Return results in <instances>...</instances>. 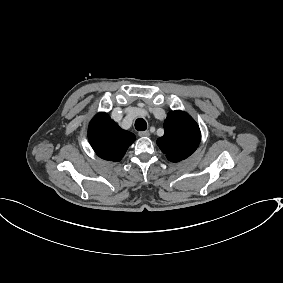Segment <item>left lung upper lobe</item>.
Masks as SVG:
<instances>
[{
    "instance_id": "1",
    "label": "left lung upper lobe",
    "mask_w": 283,
    "mask_h": 283,
    "mask_svg": "<svg viewBox=\"0 0 283 283\" xmlns=\"http://www.w3.org/2000/svg\"><path fill=\"white\" fill-rule=\"evenodd\" d=\"M201 133L195 120L183 111H171L164 122V135L157 145L171 162L186 159L197 149Z\"/></svg>"
}]
</instances>
